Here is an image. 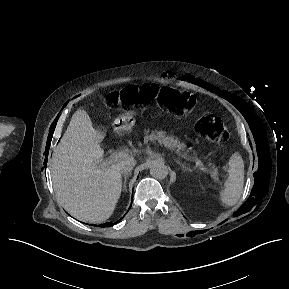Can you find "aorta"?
<instances>
[{"label": "aorta", "mask_w": 289, "mask_h": 289, "mask_svg": "<svg viewBox=\"0 0 289 289\" xmlns=\"http://www.w3.org/2000/svg\"><path fill=\"white\" fill-rule=\"evenodd\" d=\"M150 174L153 178L162 180L168 175V168L163 163H154L150 168Z\"/></svg>", "instance_id": "762f6f07"}]
</instances>
